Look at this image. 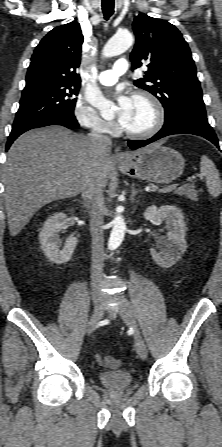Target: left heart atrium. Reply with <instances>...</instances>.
<instances>
[{
    "mask_svg": "<svg viewBox=\"0 0 222 447\" xmlns=\"http://www.w3.org/2000/svg\"><path fill=\"white\" fill-rule=\"evenodd\" d=\"M132 98L127 95L119 92L116 97V105H117V118L119 123L124 127L127 123L131 107H132Z\"/></svg>",
    "mask_w": 222,
    "mask_h": 447,
    "instance_id": "obj_1",
    "label": "left heart atrium"
}]
</instances>
